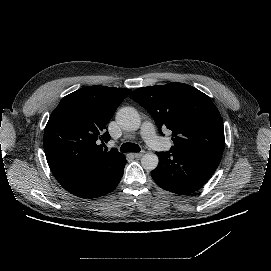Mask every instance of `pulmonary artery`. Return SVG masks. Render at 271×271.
<instances>
[{
  "label": "pulmonary artery",
  "instance_id": "e3ab8cb5",
  "mask_svg": "<svg viewBox=\"0 0 271 271\" xmlns=\"http://www.w3.org/2000/svg\"><path fill=\"white\" fill-rule=\"evenodd\" d=\"M141 136L144 138L147 144H150L152 139L155 137L154 127L152 123H143L140 131Z\"/></svg>",
  "mask_w": 271,
  "mask_h": 271
}]
</instances>
